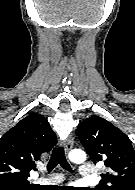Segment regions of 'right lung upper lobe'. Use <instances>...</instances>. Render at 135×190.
Instances as JSON below:
<instances>
[{"label":"right lung upper lobe","mask_w":135,"mask_h":190,"mask_svg":"<svg viewBox=\"0 0 135 190\" xmlns=\"http://www.w3.org/2000/svg\"><path fill=\"white\" fill-rule=\"evenodd\" d=\"M57 143L48 120L34 113L23 118L0 139V184H29L35 161Z\"/></svg>","instance_id":"cb5924a9"}]
</instances>
